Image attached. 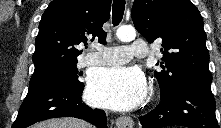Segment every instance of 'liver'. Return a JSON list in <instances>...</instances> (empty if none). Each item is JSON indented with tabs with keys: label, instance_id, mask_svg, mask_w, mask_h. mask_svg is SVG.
Segmentation results:
<instances>
[{
	"label": "liver",
	"instance_id": "liver-1",
	"mask_svg": "<svg viewBox=\"0 0 221 128\" xmlns=\"http://www.w3.org/2000/svg\"><path fill=\"white\" fill-rule=\"evenodd\" d=\"M32 128H92L88 123L76 118L49 119L32 126Z\"/></svg>",
	"mask_w": 221,
	"mask_h": 128
}]
</instances>
